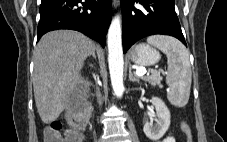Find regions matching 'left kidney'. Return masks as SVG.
<instances>
[{
	"mask_svg": "<svg viewBox=\"0 0 227 142\" xmlns=\"http://www.w3.org/2000/svg\"><path fill=\"white\" fill-rule=\"evenodd\" d=\"M151 102L156 109L157 118L154 119L155 123H153V120L145 123L143 131L149 139L156 141L162 138L169 129L171 115L169 109L160 98L152 97Z\"/></svg>",
	"mask_w": 227,
	"mask_h": 142,
	"instance_id": "left-kidney-1",
	"label": "left kidney"
}]
</instances>
